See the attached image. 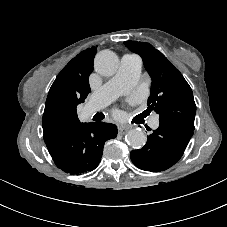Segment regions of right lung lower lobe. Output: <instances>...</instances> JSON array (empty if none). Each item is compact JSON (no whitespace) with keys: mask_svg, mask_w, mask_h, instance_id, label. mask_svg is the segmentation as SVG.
<instances>
[{"mask_svg":"<svg viewBox=\"0 0 227 227\" xmlns=\"http://www.w3.org/2000/svg\"><path fill=\"white\" fill-rule=\"evenodd\" d=\"M116 136V125L82 123L68 134L53 140L47 148L59 169L70 174H82L98 166L105 141Z\"/></svg>","mask_w":227,"mask_h":227,"instance_id":"98d812e1","label":"right lung lower lobe"}]
</instances>
